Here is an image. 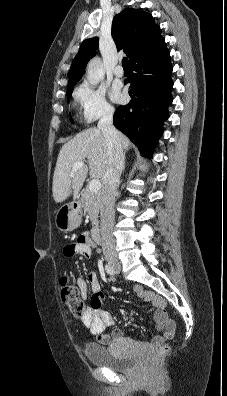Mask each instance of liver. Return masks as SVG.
<instances>
[{
  "instance_id": "obj_1",
  "label": "liver",
  "mask_w": 227,
  "mask_h": 396,
  "mask_svg": "<svg viewBox=\"0 0 227 396\" xmlns=\"http://www.w3.org/2000/svg\"><path fill=\"white\" fill-rule=\"evenodd\" d=\"M122 149L128 150L129 139L118 132ZM88 160L89 168L83 165L71 176L73 165ZM109 160V150L103 133L98 128H89L65 143L58 155L53 176V197L56 203L73 195L75 199L87 177L88 170L93 178L104 175Z\"/></svg>"
}]
</instances>
